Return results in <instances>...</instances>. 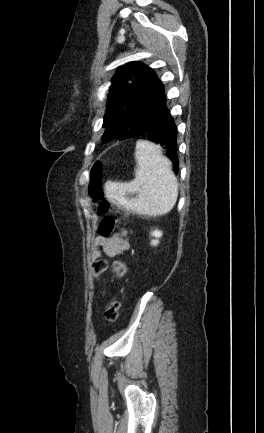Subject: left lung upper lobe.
I'll list each match as a JSON object with an SVG mask.
<instances>
[{"instance_id": "obj_1", "label": "left lung upper lobe", "mask_w": 264, "mask_h": 433, "mask_svg": "<svg viewBox=\"0 0 264 433\" xmlns=\"http://www.w3.org/2000/svg\"><path fill=\"white\" fill-rule=\"evenodd\" d=\"M157 79L153 70L140 63L129 62L120 67L112 79L108 95L107 110L103 127L105 141L117 136L120 140L129 138L127 130L120 124L121 118L138 97Z\"/></svg>"}]
</instances>
